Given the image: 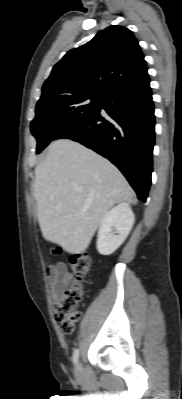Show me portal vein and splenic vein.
<instances>
[{
	"instance_id": "obj_1",
	"label": "portal vein and splenic vein",
	"mask_w": 182,
	"mask_h": 399,
	"mask_svg": "<svg viewBox=\"0 0 182 399\" xmlns=\"http://www.w3.org/2000/svg\"><path fill=\"white\" fill-rule=\"evenodd\" d=\"M78 191H82V188H78Z\"/></svg>"
}]
</instances>
